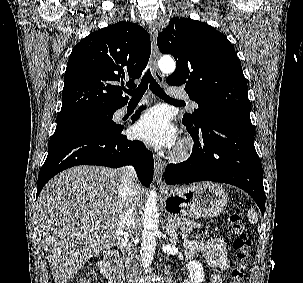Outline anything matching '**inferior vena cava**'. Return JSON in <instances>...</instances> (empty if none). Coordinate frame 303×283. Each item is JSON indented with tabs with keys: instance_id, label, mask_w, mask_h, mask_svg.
Wrapping results in <instances>:
<instances>
[{
	"instance_id": "602c4592",
	"label": "inferior vena cava",
	"mask_w": 303,
	"mask_h": 283,
	"mask_svg": "<svg viewBox=\"0 0 303 283\" xmlns=\"http://www.w3.org/2000/svg\"><path fill=\"white\" fill-rule=\"evenodd\" d=\"M136 173L133 166L122 168L120 177V208L121 214L117 228V239L124 246L123 257L126 266V279L128 283H136L138 266L136 248L133 246V232L136 228V189L134 182Z\"/></svg>"
}]
</instances>
